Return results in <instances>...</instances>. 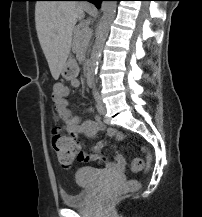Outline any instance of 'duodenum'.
<instances>
[{"label":"duodenum","instance_id":"410a0bca","mask_svg":"<svg viewBox=\"0 0 202 217\" xmlns=\"http://www.w3.org/2000/svg\"><path fill=\"white\" fill-rule=\"evenodd\" d=\"M87 81H88L89 85H93V83H94V76H93V73L91 70H88Z\"/></svg>","mask_w":202,"mask_h":217}]
</instances>
